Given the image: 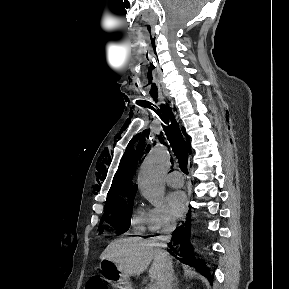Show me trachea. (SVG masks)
<instances>
[{"label": "trachea", "instance_id": "3493384b", "mask_svg": "<svg viewBox=\"0 0 289 289\" xmlns=\"http://www.w3.org/2000/svg\"><path fill=\"white\" fill-rule=\"evenodd\" d=\"M161 120L165 123V134L171 144V147L178 159L179 167L185 174H188V153L184 138L181 134L179 126L172 115V110L169 106L164 109L155 110Z\"/></svg>", "mask_w": 289, "mask_h": 289}]
</instances>
